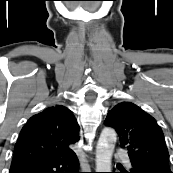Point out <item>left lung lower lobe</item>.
<instances>
[{"mask_svg":"<svg viewBox=\"0 0 173 173\" xmlns=\"http://www.w3.org/2000/svg\"><path fill=\"white\" fill-rule=\"evenodd\" d=\"M122 173H161L158 170L149 168L147 166H140L135 163H132V168L130 169L129 172L127 171H122Z\"/></svg>","mask_w":173,"mask_h":173,"instance_id":"1","label":"left lung lower lobe"}]
</instances>
